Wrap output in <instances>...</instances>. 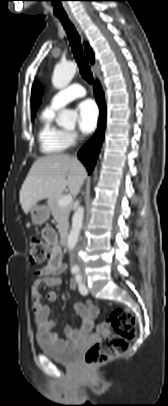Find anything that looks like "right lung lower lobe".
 I'll return each mask as SVG.
<instances>
[{"label":"right lung lower lobe","mask_w":168,"mask_h":406,"mask_svg":"<svg viewBox=\"0 0 168 406\" xmlns=\"http://www.w3.org/2000/svg\"><path fill=\"white\" fill-rule=\"evenodd\" d=\"M94 93L96 101L100 108V117L98 121V129L94 136L82 147L78 152V158L85 164L88 172H92L96 159L98 157L100 147L104 138L105 122H106V107L104 95L99 82L95 83Z\"/></svg>","instance_id":"obj_1"}]
</instances>
